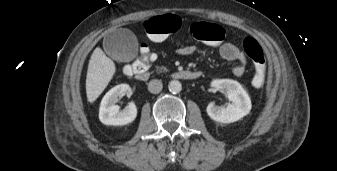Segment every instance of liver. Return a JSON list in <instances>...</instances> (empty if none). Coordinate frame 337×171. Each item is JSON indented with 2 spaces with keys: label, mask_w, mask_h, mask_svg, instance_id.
Instances as JSON below:
<instances>
[{
  "label": "liver",
  "mask_w": 337,
  "mask_h": 171,
  "mask_svg": "<svg viewBox=\"0 0 337 171\" xmlns=\"http://www.w3.org/2000/svg\"><path fill=\"white\" fill-rule=\"evenodd\" d=\"M115 72V63L97 47L91 55L86 77V94L90 103L100 96Z\"/></svg>",
  "instance_id": "1"
}]
</instances>
